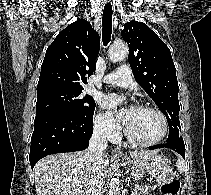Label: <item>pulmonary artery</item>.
I'll return each instance as SVG.
<instances>
[{
	"label": "pulmonary artery",
	"instance_id": "pulmonary-artery-1",
	"mask_svg": "<svg viewBox=\"0 0 211 195\" xmlns=\"http://www.w3.org/2000/svg\"><path fill=\"white\" fill-rule=\"evenodd\" d=\"M103 83L120 87H130L133 84L131 70L128 66H121L118 70L106 75Z\"/></svg>",
	"mask_w": 211,
	"mask_h": 195
}]
</instances>
